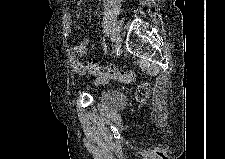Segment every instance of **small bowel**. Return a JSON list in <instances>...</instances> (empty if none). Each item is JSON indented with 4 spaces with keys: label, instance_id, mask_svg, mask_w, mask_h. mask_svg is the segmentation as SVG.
I'll list each match as a JSON object with an SVG mask.
<instances>
[{
    "label": "small bowel",
    "instance_id": "1",
    "mask_svg": "<svg viewBox=\"0 0 225 159\" xmlns=\"http://www.w3.org/2000/svg\"><path fill=\"white\" fill-rule=\"evenodd\" d=\"M89 42L83 40L78 43L74 49L69 53L70 66L74 72L83 74L85 73V68L83 64L79 61V57H86L88 53Z\"/></svg>",
    "mask_w": 225,
    "mask_h": 159
}]
</instances>
